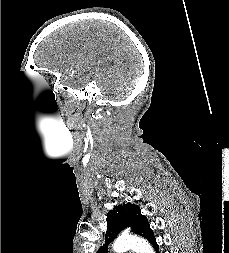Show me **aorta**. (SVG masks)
<instances>
[{
	"instance_id": "obj_1",
	"label": "aorta",
	"mask_w": 229,
	"mask_h": 253,
	"mask_svg": "<svg viewBox=\"0 0 229 253\" xmlns=\"http://www.w3.org/2000/svg\"><path fill=\"white\" fill-rule=\"evenodd\" d=\"M133 250L136 253H154L151 245L140 237L129 236L118 238L113 244V250L116 253H124L127 250Z\"/></svg>"
}]
</instances>
